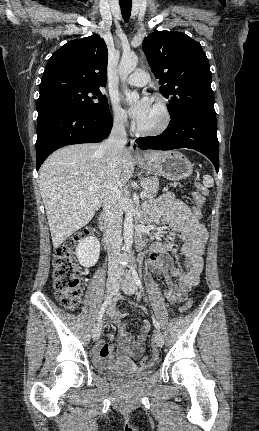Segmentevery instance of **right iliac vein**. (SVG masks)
Here are the masks:
<instances>
[{"label": "right iliac vein", "instance_id": "63e3f726", "mask_svg": "<svg viewBox=\"0 0 259 431\" xmlns=\"http://www.w3.org/2000/svg\"><path fill=\"white\" fill-rule=\"evenodd\" d=\"M117 273L113 272L110 274V276L108 277L107 280V284H106V289H107V293L108 295H113L118 288L117 285ZM101 329H102V323H97L93 329V334H92V338L94 341L98 340L101 334Z\"/></svg>", "mask_w": 259, "mask_h": 431}]
</instances>
